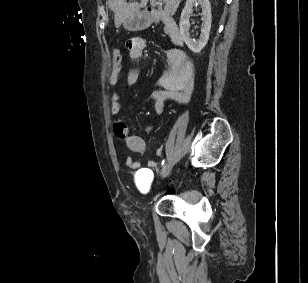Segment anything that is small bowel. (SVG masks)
I'll return each mask as SVG.
<instances>
[{
	"instance_id": "obj_1",
	"label": "small bowel",
	"mask_w": 308,
	"mask_h": 283,
	"mask_svg": "<svg viewBox=\"0 0 308 283\" xmlns=\"http://www.w3.org/2000/svg\"><path fill=\"white\" fill-rule=\"evenodd\" d=\"M126 47L128 49L130 58L133 60H139L142 57L146 42L144 39L135 37L127 41ZM168 65L164 73L160 78L161 88L155 90L152 93V98L155 101V114L160 115L165 108V105L169 101L185 103L187 102L193 93L194 79L192 64L188 57L178 51L169 50L167 53ZM121 66L113 68L109 76V84L115 86L118 83ZM140 76L138 69H131L127 75V83L129 86L137 84ZM121 95L117 92L111 95V113L114 116H118L121 112ZM155 130L154 126L148 127V131ZM114 133L116 137L126 142L127 147L132 152L141 153L145 150L146 141L141 136L130 133L128 126L121 119H117L114 123ZM163 149L160 147L157 149L156 154L161 155ZM149 167L154 168L157 163L154 160L148 162ZM126 166L131 169L139 168V163L133 158L129 157L126 160Z\"/></svg>"
}]
</instances>
